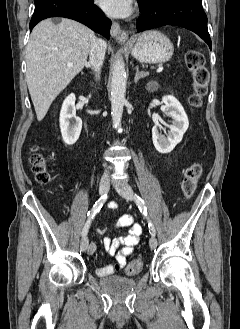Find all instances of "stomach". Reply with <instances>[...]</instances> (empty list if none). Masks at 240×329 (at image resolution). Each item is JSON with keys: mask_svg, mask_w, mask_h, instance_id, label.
I'll list each match as a JSON object with an SVG mask.
<instances>
[{"mask_svg": "<svg viewBox=\"0 0 240 329\" xmlns=\"http://www.w3.org/2000/svg\"><path fill=\"white\" fill-rule=\"evenodd\" d=\"M174 52L173 44L163 33L151 30L140 34L134 47L132 56L143 63H163L168 61Z\"/></svg>", "mask_w": 240, "mask_h": 329, "instance_id": "0dacf381", "label": "stomach"}]
</instances>
